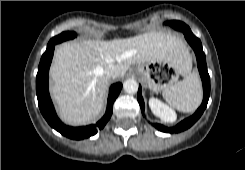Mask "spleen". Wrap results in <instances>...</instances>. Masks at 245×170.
I'll return each mask as SVG.
<instances>
[{
  "label": "spleen",
  "instance_id": "spleen-1",
  "mask_svg": "<svg viewBox=\"0 0 245 170\" xmlns=\"http://www.w3.org/2000/svg\"><path fill=\"white\" fill-rule=\"evenodd\" d=\"M166 102L181 112H192L202 101V85L196 72H189L182 81L175 82L163 91Z\"/></svg>",
  "mask_w": 245,
  "mask_h": 170
}]
</instances>
